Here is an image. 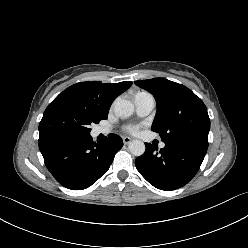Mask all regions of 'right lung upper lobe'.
I'll return each instance as SVG.
<instances>
[{
    "label": "right lung upper lobe",
    "mask_w": 248,
    "mask_h": 248,
    "mask_svg": "<svg viewBox=\"0 0 248 248\" xmlns=\"http://www.w3.org/2000/svg\"><path fill=\"white\" fill-rule=\"evenodd\" d=\"M132 85V82L101 83L97 81L76 83L61 92L52 102L64 101L79 106L100 120L108 118L113 100Z\"/></svg>",
    "instance_id": "1"
}]
</instances>
